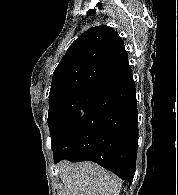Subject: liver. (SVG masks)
I'll use <instances>...</instances> for the list:
<instances>
[{"instance_id": "obj_1", "label": "liver", "mask_w": 178, "mask_h": 195, "mask_svg": "<svg viewBox=\"0 0 178 195\" xmlns=\"http://www.w3.org/2000/svg\"><path fill=\"white\" fill-rule=\"evenodd\" d=\"M59 173L62 195H119L122 185L114 174L93 162H62Z\"/></svg>"}]
</instances>
